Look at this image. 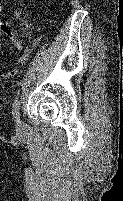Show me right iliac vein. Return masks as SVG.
<instances>
[{"label":"right iliac vein","instance_id":"obj_1","mask_svg":"<svg viewBox=\"0 0 123 201\" xmlns=\"http://www.w3.org/2000/svg\"><path fill=\"white\" fill-rule=\"evenodd\" d=\"M21 121H20V119L17 121V127H18V129H20L21 128Z\"/></svg>","mask_w":123,"mask_h":201}]
</instances>
